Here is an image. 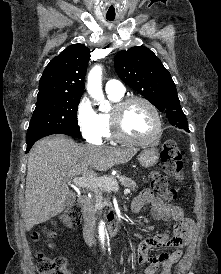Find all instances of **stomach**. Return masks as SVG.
Returning a JSON list of instances; mask_svg holds the SVG:
<instances>
[{"label": "stomach", "instance_id": "1", "mask_svg": "<svg viewBox=\"0 0 221 274\" xmlns=\"http://www.w3.org/2000/svg\"><path fill=\"white\" fill-rule=\"evenodd\" d=\"M159 160V152L154 147H147L138 156V161L143 167L154 166Z\"/></svg>", "mask_w": 221, "mask_h": 274}]
</instances>
